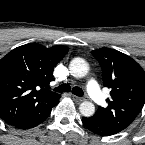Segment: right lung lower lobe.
<instances>
[{
    "label": "right lung lower lobe",
    "mask_w": 145,
    "mask_h": 145,
    "mask_svg": "<svg viewBox=\"0 0 145 145\" xmlns=\"http://www.w3.org/2000/svg\"><path fill=\"white\" fill-rule=\"evenodd\" d=\"M58 102L54 103L53 105L49 106L48 108H46L45 110H43L38 114L17 119L12 123H10L9 125L22 130L34 128L47 119V117L51 113L52 108L56 106Z\"/></svg>",
    "instance_id": "right-lung-lower-lobe-1"
}]
</instances>
